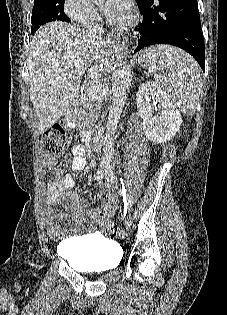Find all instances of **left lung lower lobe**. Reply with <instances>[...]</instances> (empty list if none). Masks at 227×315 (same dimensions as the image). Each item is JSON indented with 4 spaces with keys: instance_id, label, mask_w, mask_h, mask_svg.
<instances>
[{
    "instance_id": "1",
    "label": "left lung lower lobe",
    "mask_w": 227,
    "mask_h": 315,
    "mask_svg": "<svg viewBox=\"0 0 227 315\" xmlns=\"http://www.w3.org/2000/svg\"><path fill=\"white\" fill-rule=\"evenodd\" d=\"M143 22L136 27L135 52L154 44H170L190 53L204 71L205 47L197 0H137Z\"/></svg>"
}]
</instances>
